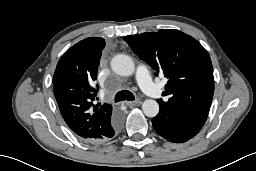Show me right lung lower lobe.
Wrapping results in <instances>:
<instances>
[{"mask_svg": "<svg viewBox=\"0 0 256 171\" xmlns=\"http://www.w3.org/2000/svg\"><path fill=\"white\" fill-rule=\"evenodd\" d=\"M120 125H121V118H120V116L115 115L110 123L109 138H112L115 135V131H117L120 128ZM109 138H107V139H109Z\"/></svg>", "mask_w": 256, "mask_h": 171, "instance_id": "98d812e1", "label": "right lung lower lobe"}]
</instances>
